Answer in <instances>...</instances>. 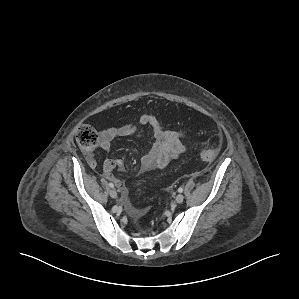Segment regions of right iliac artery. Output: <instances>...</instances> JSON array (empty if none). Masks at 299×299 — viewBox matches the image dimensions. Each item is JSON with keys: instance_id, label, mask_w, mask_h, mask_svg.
I'll list each match as a JSON object with an SVG mask.
<instances>
[{"instance_id": "1", "label": "right iliac artery", "mask_w": 299, "mask_h": 299, "mask_svg": "<svg viewBox=\"0 0 299 299\" xmlns=\"http://www.w3.org/2000/svg\"><path fill=\"white\" fill-rule=\"evenodd\" d=\"M108 185H109L110 188H114V184L113 183L110 182Z\"/></svg>"}]
</instances>
